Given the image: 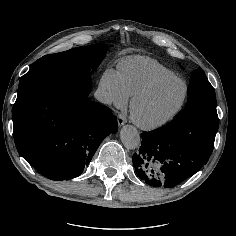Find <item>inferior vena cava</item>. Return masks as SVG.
<instances>
[{
  "label": "inferior vena cava",
  "mask_w": 236,
  "mask_h": 236,
  "mask_svg": "<svg viewBox=\"0 0 236 236\" xmlns=\"http://www.w3.org/2000/svg\"><path fill=\"white\" fill-rule=\"evenodd\" d=\"M94 97L102 103L110 104L112 102V95L109 90L104 87H98L94 93Z\"/></svg>",
  "instance_id": "inferior-vena-cava-1"
}]
</instances>
